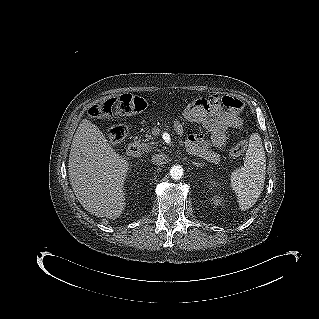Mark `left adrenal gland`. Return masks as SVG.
<instances>
[{
	"mask_svg": "<svg viewBox=\"0 0 319 319\" xmlns=\"http://www.w3.org/2000/svg\"><path fill=\"white\" fill-rule=\"evenodd\" d=\"M193 165H196L198 167L200 166V163L193 162Z\"/></svg>",
	"mask_w": 319,
	"mask_h": 319,
	"instance_id": "left-adrenal-gland-1",
	"label": "left adrenal gland"
}]
</instances>
